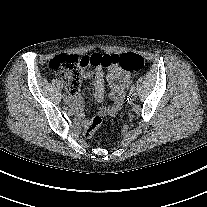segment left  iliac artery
Wrapping results in <instances>:
<instances>
[{"label":"left iliac artery","instance_id":"44dca946","mask_svg":"<svg viewBox=\"0 0 207 207\" xmlns=\"http://www.w3.org/2000/svg\"><path fill=\"white\" fill-rule=\"evenodd\" d=\"M129 92L131 94H134L136 92V86L135 85H132L131 88L129 89Z\"/></svg>","mask_w":207,"mask_h":207}]
</instances>
